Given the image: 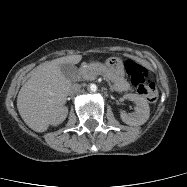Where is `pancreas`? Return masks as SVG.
<instances>
[{
    "label": "pancreas",
    "instance_id": "1",
    "mask_svg": "<svg viewBox=\"0 0 187 187\" xmlns=\"http://www.w3.org/2000/svg\"><path fill=\"white\" fill-rule=\"evenodd\" d=\"M98 75H103L107 79L114 81L110 71L102 64H91L81 68L78 72V77L82 80H95Z\"/></svg>",
    "mask_w": 187,
    "mask_h": 187
}]
</instances>
